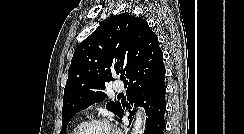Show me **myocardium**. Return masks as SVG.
<instances>
[{
	"label": "myocardium",
	"instance_id": "f54148a6",
	"mask_svg": "<svg viewBox=\"0 0 244 134\" xmlns=\"http://www.w3.org/2000/svg\"><path fill=\"white\" fill-rule=\"evenodd\" d=\"M94 125H103L106 126L108 128H110L114 134H117V132L115 131V129L112 127V125L105 119H101V118H92L89 119L83 123H81L77 129L75 130L74 134H83V132L88 129L91 126Z\"/></svg>",
	"mask_w": 244,
	"mask_h": 134
}]
</instances>
